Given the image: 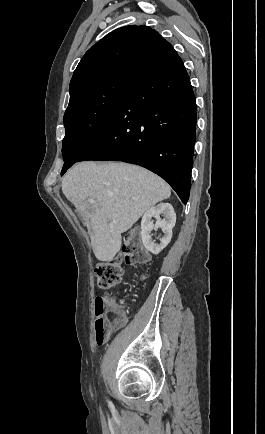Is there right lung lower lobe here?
Returning a JSON list of instances; mask_svg holds the SVG:
<instances>
[{
	"instance_id": "obj_1",
	"label": "right lung lower lobe",
	"mask_w": 265,
	"mask_h": 434,
	"mask_svg": "<svg viewBox=\"0 0 265 434\" xmlns=\"http://www.w3.org/2000/svg\"><path fill=\"white\" fill-rule=\"evenodd\" d=\"M196 100L173 47L137 74L110 124L78 159L123 161L165 179L186 204L196 139Z\"/></svg>"
}]
</instances>
